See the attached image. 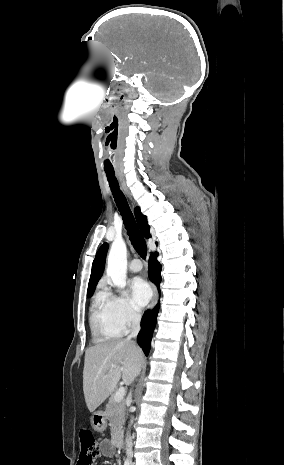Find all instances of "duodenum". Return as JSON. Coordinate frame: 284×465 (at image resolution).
I'll list each match as a JSON object with an SVG mask.
<instances>
[{"instance_id": "obj_1", "label": "duodenum", "mask_w": 284, "mask_h": 465, "mask_svg": "<svg viewBox=\"0 0 284 465\" xmlns=\"http://www.w3.org/2000/svg\"><path fill=\"white\" fill-rule=\"evenodd\" d=\"M113 443L116 447H120L123 444V433L119 430H116L113 437Z\"/></svg>"}]
</instances>
